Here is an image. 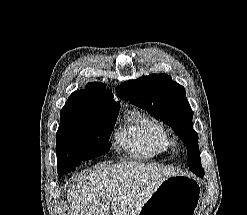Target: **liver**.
<instances>
[{"mask_svg": "<svg viewBox=\"0 0 247 215\" xmlns=\"http://www.w3.org/2000/svg\"><path fill=\"white\" fill-rule=\"evenodd\" d=\"M168 166L121 162L80 174L71 185L68 215H137L142 205L168 177L180 175Z\"/></svg>", "mask_w": 247, "mask_h": 215, "instance_id": "1", "label": "liver"}]
</instances>
